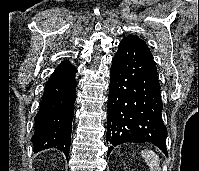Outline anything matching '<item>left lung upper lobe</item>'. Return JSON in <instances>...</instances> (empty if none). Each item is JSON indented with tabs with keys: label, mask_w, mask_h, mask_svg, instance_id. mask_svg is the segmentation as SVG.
<instances>
[{
	"label": "left lung upper lobe",
	"mask_w": 199,
	"mask_h": 171,
	"mask_svg": "<svg viewBox=\"0 0 199 171\" xmlns=\"http://www.w3.org/2000/svg\"><path fill=\"white\" fill-rule=\"evenodd\" d=\"M123 40H127L129 42H132V43L136 44L137 46L141 47L147 54L152 56V54H151L147 44L145 43V41L140 39L139 37L127 36V37L123 38Z\"/></svg>",
	"instance_id": "5c2ea615"
}]
</instances>
